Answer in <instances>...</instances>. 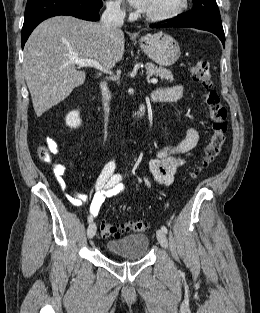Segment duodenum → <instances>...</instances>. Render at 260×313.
<instances>
[{
    "instance_id": "duodenum-1",
    "label": "duodenum",
    "mask_w": 260,
    "mask_h": 313,
    "mask_svg": "<svg viewBox=\"0 0 260 313\" xmlns=\"http://www.w3.org/2000/svg\"><path fill=\"white\" fill-rule=\"evenodd\" d=\"M146 110H147V103H143L139 107L136 119L131 124H129L125 130L128 132H133V131L137 130L140 127V125H141V123L145 117ZM94 113L98 119H100L102 121H106V122L108 121L107 117L105 116V114L101 110L95 109Z\"/></svg>"
}]
</instances>
